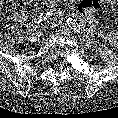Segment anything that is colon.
<instances>
[{"label":"colon","mask_w":118,"mask_h":118,"mask_svg":"<svg viewBox=\"0 0 118 118\" xmlns=\"http://www.w3.org/2000/svg\"><path fill=\"white\" fill-rule=\"evenodd\" d=\"M4 13L8 18H16L20 10L19 0H0V15Z\"/></svg>","instance_id":"5ec220e1"}]
</instances>
